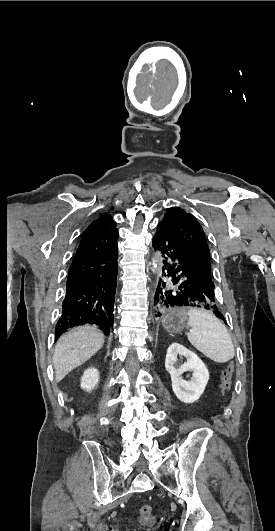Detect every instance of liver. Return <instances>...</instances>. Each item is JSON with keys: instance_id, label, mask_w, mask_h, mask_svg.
Listing matches in <instances>:
<instances>
[{"instance_id": "6515ba94", "label": "liver", "mask_w": 275, "mask_h": 531, "mask_svg": "<svg viewBox=\"0 0 275 531\" xmlns=\"http://www.w3.org/2000/svg\"><path fill=\"white\" fill-rule=\"evenodd\" d=\"M104 335L97 327H75L60 337L54 351L55 381L60 383L70 371L83 365L104 345Z\"/></svg>"}]
</instances>
